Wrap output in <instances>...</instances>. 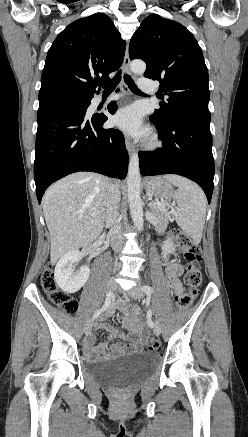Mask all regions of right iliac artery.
I'll use <instances>...</instances> for the list:
<instances>
[{"label": "right iliac artery", "mask_w": 248, "mask_h": 437, "mask_svg": "<svg viewBox=\"0 0 248 437\" xmlns=\"http://www.w3.org/2000/svg\"><path fill=\"white\" fill-rule=\"evenodd\" d=\"M111 292H108L106 295V299H105V303L103 305V307L99 310H97L94 315H93V320H95L104 310H106L111 302Z\"/></svg>", "instance_id": "obj_1"}]
</instances>
